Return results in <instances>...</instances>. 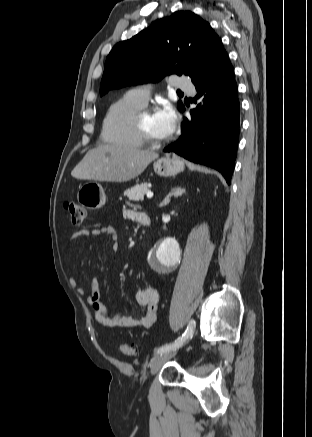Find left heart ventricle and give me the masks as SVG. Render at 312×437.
<instances>
[{
  "mask_svg": "<svg viewBox=\"0 0 312 437\" xmlns=\"http://www.w3.org/2000/svg\"><path fill=\"white\" fill-rule=\"evenodd\" d=\"M142 126L145 131L156 140H164L167 136L160 130L155 114H147L142 117Z\"/></svg>",
  "mask_w": 312,
  "mask_h": 437,
  "instance_id": "left-heart-ventricle-1",
  "label": "left heart ventricle"
}]
</instances>
